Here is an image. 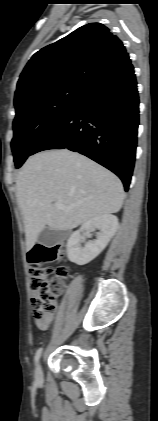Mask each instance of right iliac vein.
Returning <instances> with one entry per match:
<instances>
[{"label": "right iliac vein", "instance_id": "1", "mask_svg": "<svg viewBox=\"0 0 158 421\" xmlns=\"http://www.w3.org/2000/svg\"><path fill=\"white\" fill-rule=\"evenodd\" d=\"M35 379L38 382H41L42 379H43L42 367H41V364L40 363H38V365L36 367V370H35Z\"/></svg>", "mask_w": 158, "mask_h": 421}]
</instances>
